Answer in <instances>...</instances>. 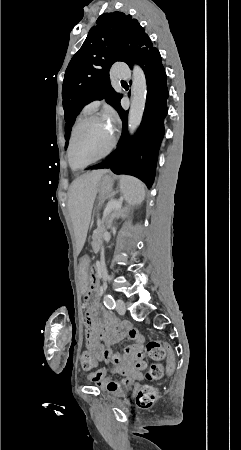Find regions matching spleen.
Returning a JSON list of instances; mask_svg holds the SVG:
<instances>
[{
    "mask_svg": "<svg viewBox=\"0 0 241 450\" xmlns=\"http://www.w3.org/2000/svg\"><path fill=\"white\" fill-rule=\"evenodd\" d=\"M120 190L129 206H138V204H142L145 198L144 184L137 178H132V176H121Z\"/></svg>",
    "mask_w": 241,
    "mask_h": 450,
    "instance_id": "1",
    "label": "spleen"
}]
</instances>
